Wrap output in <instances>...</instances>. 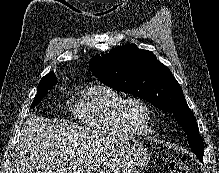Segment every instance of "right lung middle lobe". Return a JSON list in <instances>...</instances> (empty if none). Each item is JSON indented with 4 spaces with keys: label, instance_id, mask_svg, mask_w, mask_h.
I'll use <instances>...</instances> for the list:
<instances>
[{
    "label": "right lung middle lobe",
    "instance_id": "1",
    "mask_svg": "<svg viewBox=\"0 0 219 173\" xmlns=\"http://www.w3.org/2000/svg\"><path fill=\"white\" fill-rule=\"evenodd\" d=\"M55 77H44L41 79L38 85V91L34 98V101L30 108L35 107L37 104L41 102V99L47 94L48 90L52 88L54 85H56L57 82H55Z\"/></svg>",
    "mask_w": 219,
    "mask_h": 173
}]
</instances>
